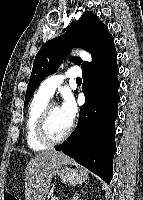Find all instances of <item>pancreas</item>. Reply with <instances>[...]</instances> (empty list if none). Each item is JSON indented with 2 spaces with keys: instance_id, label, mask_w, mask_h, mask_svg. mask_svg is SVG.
Wrapping results in <instances>:
<instances>
[{
  "instance_id": "pancreas-1",
  "label": "pancreas",
  "mask_w": 143,
  "mask_h": 200,
  "mask_svg": "<svg viewBox=\"0 0 143 200\" xmlns=\"http://www.w3.org/2000/svg\"><path fill=\"white\" fill-rule=\"evenodd\" d=\"M51 200H58L56 197L52 198Z\"/></svg>"
}]
</instances>
